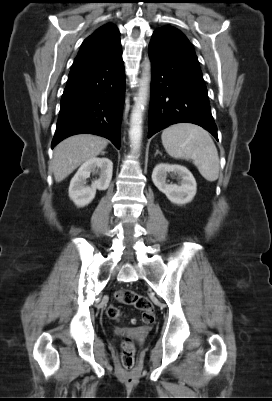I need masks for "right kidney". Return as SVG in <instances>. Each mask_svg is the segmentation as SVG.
<instances>
[{"instance_id": "1", "label": "right kidney", "mask_w": 272, "mask_h": 401, "mask_svg": "<svg viewBox=\"0 0 272 401\" xmlns=\"http://www.w3.org/2000/svg\"><path fill=\"white\" fill-rule=\"evenodd\" d=\"M92 172L98 173L99 178L86 186V180ZM113 163L108 158H92L81 165L69 186V197L78 207L88 205L95 197L96 190H106L111 182Z\"/></svg>"}]
</instances>
